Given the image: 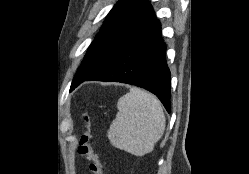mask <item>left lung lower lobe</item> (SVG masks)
I'll return each instance as SVG.
<instances>
[{
    "mask_svg": "<svg viewBox=\"0 0 249 174\" xmlns=\"http://www.w3.org/2000/svg\"><path fill=\"white\" fill-rule=\"evenodd\" d=\"M165 54L166 45L161 38V26L154 19L131 37L95 74L73 80L70 90L84 81L133 84L155 94L170 113V71Z\"/></svg>",
    "mask_w": 249,
    "mask_h": 174,
    "instance_id": "0a47b994",
    "label": "left lung lower lobe"
}]
</instances>
